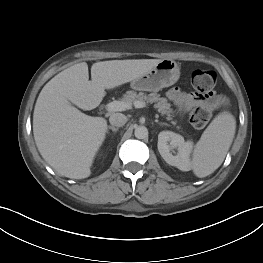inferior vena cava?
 I'll return each mask as SVG.
<instances>
[{"instance_id":"1","label":"inferior vena cava","mask_w":263,"mask_h":263,"mask_svg":"<svg viewBox=\"0 0 263 263\" xmlns=\"http://www.w3.org/2000/svg\"><path fill=\"white\" fill-rule=\"evenodd\" d=\"M109 122L113 126L121 127L127 122V117L122 113H114L111 114Z\"/></svg>"}]
</instances>
